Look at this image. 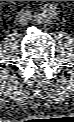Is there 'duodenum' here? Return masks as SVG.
Masks as SVG:
<instances>
[{"label":"duodenum","mask_w":74,"mask_h":122,"mask_svg":"<svg viewBox=\"0 0 74 122\" xmlns=\"http://www.w3.org/2000/svg\"><path fill=\"white\" fill-rule=\"evenodd\" d=\"M38 18L42 19V18H46V17L44 15H39Z\"/></svg>","instance_id":"1"}]
</instances>
